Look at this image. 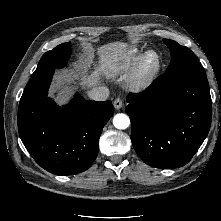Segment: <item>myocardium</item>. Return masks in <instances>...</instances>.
<instances>
[{
  "instance_id": "1",
  "label": "myocardium",
  "mask_w": 221,
  "mask_h": 221,
  "mask_svg": "<svg viewBox=\"0 0 221 221\" xmlns=\"http://www.w3.org/2000/svg\"><path fill=\"white\" fill-rule=\"evenodd\" d=\"M160 68V54L153 49L145 51L135 63L128 78L129 87L135 90L149 87L157 77Z\"/></svg>"
}]
</instances>
